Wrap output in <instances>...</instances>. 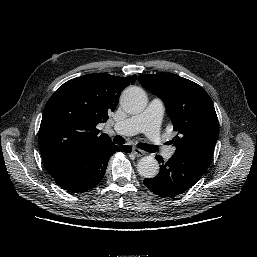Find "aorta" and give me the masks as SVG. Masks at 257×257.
<instances>
[{"mask_svg":"<svg viewBox=\"0 0 257 257\" xmlns=\"http://www.w3.org/2000/svg\"><path fill=\"white\" fill-rule=\"evenodd\" d=\"M122 108L132 114L140 113L147 105V95L140 87L125 89L120 97ZM138 173L145 178H153L159 172V163L153 156H144L137 163Z\"/></svg>","mask_w":257,"mask_h":257,"instance_id":"1","label":"aorta"}]
</instances>
